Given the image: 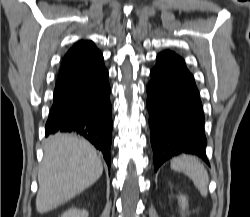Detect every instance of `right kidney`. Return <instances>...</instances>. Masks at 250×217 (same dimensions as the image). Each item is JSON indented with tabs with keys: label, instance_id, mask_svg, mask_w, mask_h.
Here are the masks:
<instances>
[{
	"label": "right kidney",
	"instance_id": "1",
	"mask_svg": "<svg viewBox=\"0 0 250 217\" xmlns=\"http://www.w3.org/2000/svg\"><path fill=\"white\" fill-rule=\"evenodd\" d=\"M87 210H80L77 208H70L67 211H65L61 217H88Z\"/></svg>",
	"mask_w": 250,
	"mask_h": 217
}]
</instances>
